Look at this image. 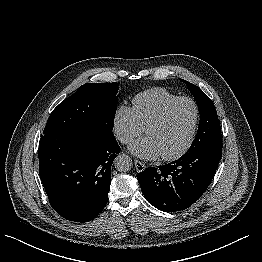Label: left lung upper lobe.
<instances>
[{
    "label": "left lung upper lobe",
    "mask_w": 262,
    "mask_h": 262,
    "mask_svg": "<svg viewBox=\"0 0 262 262\" xmlns=\"http://www.w3.org/2000/svg\"><path fill=\"white\" fill-rule=\"evenodd\" d=\"M180 80L186 84L194 96L200 112L197 135L187 152L204 149H222L221 128L212 100L194 84L183 79Z\"/></svg>",
    "instance_id": "left-lung-upper-lobe-1"
}]
</instances>
